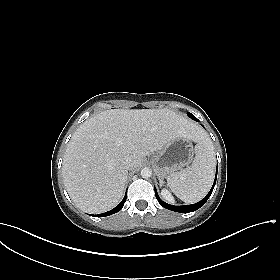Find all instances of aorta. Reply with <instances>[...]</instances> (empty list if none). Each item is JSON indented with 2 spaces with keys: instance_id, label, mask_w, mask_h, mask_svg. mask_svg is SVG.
Returning a JSON list of instances; mask_svg holds the SVG:
<instances>
[{
  "instance_id": "aorta-1",
  "label": "aorta",
  "mask_w": 280,
  "mask_h": 280,
  "mask_svg": "<svg viewBox=\"0 0 280 280\" xmlns=\"http://www.w3.org/2000/svg\"><path fill=\"white\" fill-rule=\"evenodd\" d=\"M151 175H152V170H151L150 168L145 167V168H143V169L141 170V176H142V178L147 179V178H150Z\"/></svg>"
}]
</instances>
